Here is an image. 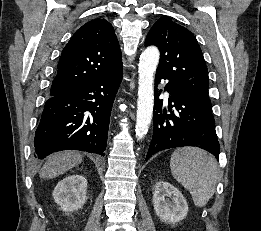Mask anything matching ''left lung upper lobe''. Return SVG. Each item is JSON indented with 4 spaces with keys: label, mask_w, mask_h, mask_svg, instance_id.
<instances>
[{
    "label": "left lung upper lobe",
    "mask_w": 261,
    "mask_h": 231,
    "mask_svg": "<svg viewBox=\"0 0 261 231\" xmlns=\"http://www.w3.org/2000/svg\"><path fill=\"white\" fill-rule=\"evenodd\" d=\"M149 45L160 50L156 73L164 75L186 98L211 107L207 67L193 34L170 18L161 17L148 33L145 46Z\"/></svg>",
    "instance_id": "1"
}]
</instances>
